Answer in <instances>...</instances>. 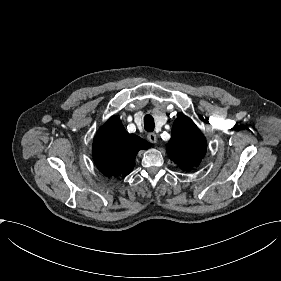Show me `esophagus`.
<instances>
[{
    "mask_svg": "<svg viewBox=\"0 0 281 281\" xmlns=\"http://www.w3.org/2000/svg\"><path fill=\"white\" fill-rule=\"evenodd\" d=\"M147 139H148L151 143H156V142H157V136H156L155 133H148Z\"/></svg>",
    "mask_w": 281,
    "mask_h": 281,
    "instance_id": "34e87169",
    "label": "esophagus"
}]
</instances>
